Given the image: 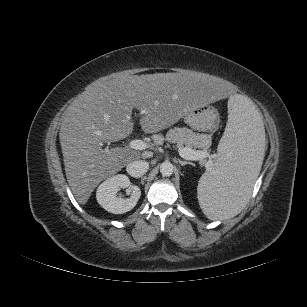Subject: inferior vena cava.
<instances>
[{
	"instance_id": "inferior-vena-cava-1",
	"label": "inferior vena cava",
	"mask_w": 307,
	"mask_h": 307,
	"mask_svg": "<svg viewBox=\"0 0 307 307\" xmlns=\"http://www.w3.org/2000/svg\"><path fill=\"white\" fill-rule=\"evenodd\" d=\"M149 169V163L143 160H136L127 164L126 171L127 173L134 177L138 178L143 176Z\"/></svg>"
}]
</instances>
